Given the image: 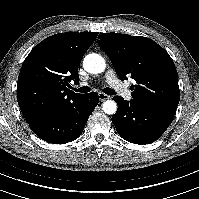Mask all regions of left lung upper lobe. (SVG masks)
Returning a JSON list of instances; mask_svg holds the SVG:
<instances>
[{"label": "left lung upper lobe", "mask_w": 199, "mask_h": 199, "mask_svg": "<svg viewBox=\"0 0 199 199\" xmlns=\"http://www.w3.org/2000/svg\"><path fill=\"white\" fill-rule=\"evenodd\" d=\"M98 45L109 56L119 78L131 76L133 100L175 114L180 91L169 54L153 40L120 33H101Z\"/></svg>", "instance_id": "left-lung-upper-lobe-1"}]
</instances>
